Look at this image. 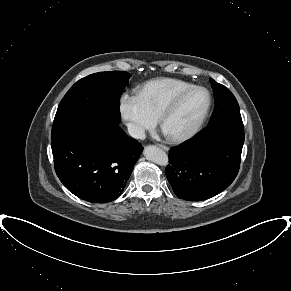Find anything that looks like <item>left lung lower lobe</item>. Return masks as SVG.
Listing matches in <instances>:
<instances>
[{"mask_svg":"<svg viewBox=\"0 0 291 291\" xmlns=\"http://www.w3.org/2000/svg\"><path fill=\"white\" fill-rule=\"evenodd\" d=\"M244 143L242 120L220 119L171 148L166 177L178 198L204 200L236 178Z\"/></svg>","mask_w":291,"mask_h":291,"instance_id":"left-lung-lower-lobe-1","label":"left lung lower lobe"}]
</instances>
